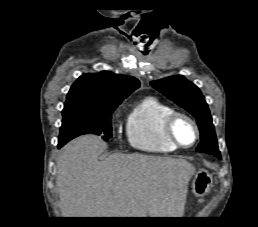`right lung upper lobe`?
Wrapping results in <instances>:
<instances>
[{
  "label": "right lung upper lobe",
  "instance_id": "cb5924a9",
  "mask_svg": "<svg viewBox=\"0 0 258 227\" xmlns=\"http://www.w3.org/2000/svg\"><path fill=\"white\" fill-rule=\"evenodd\" d=\"M139 86L140 82L136 78L109 71L83 74L72 85L66 102L95 106L119 105Z\"/></svg>",
  "mask_w": 258,
  "mask_h": 227
}]
</instances>
